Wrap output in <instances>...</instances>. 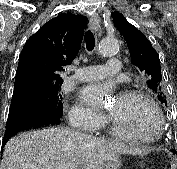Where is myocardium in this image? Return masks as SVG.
<instances>
[{"mask_svg": "<svg viewBox=\"0 0 177 169\" xmlns=\"http://www.w3.org/2000/svg\"><path fill=\"white\" fill-rule=\"evenodd\" d=\"M121 95L126 96V97H138V98H142L145 101H147L157 112L160 118V122H161V129L159 132H157L155 135H152V136L132 135L124 129V127L119 123V121L115 117H113L112 115H109V120L112 124V128L117 133H119L122 137H125L128 139H134V140L146 141V142H152L158 139L164 133L165 127H166L165 117L158 103L148 93H146L145 91L137 87L126 88L122 91Z\"/></svg>", "mask_w": 177, "mask_h": 169, "instance_id": "obj_1", "label": "myocardium"}]
</instances>
